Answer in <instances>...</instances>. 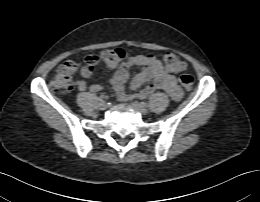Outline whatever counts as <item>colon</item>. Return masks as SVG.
<instances>
[{
	"instance_id": "colon-1",
	"label": "colon",
	"mask_w": 260,
	"mask_h": 202,
	"mask_svg": "<svg viewBox=\"0 0 260 202\" xmlns=\"http://www.w3.org/2000/svg\"><path fill=\"white\" fill-rule=\"evenodd\" d=\"M125 52L121 48H110L101 53L102 61L109 67L117 66L124 58ZM97 62L95 56H88L84 59L68 60L63 63L52 76L49 86L52 90L69 92L73 89V79L76 74L84 69L93 70ZM163 64L166 70L180 73L186 70V63L177 55L167 53L163 57ZM180 83L186 90H191L194 85L192 76L184 74L180 77Z\"/></svg>"
}]
</instances>
